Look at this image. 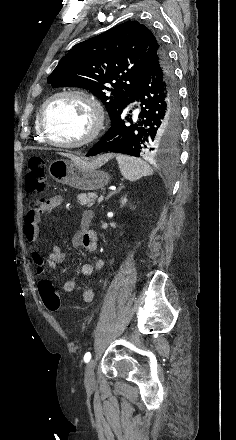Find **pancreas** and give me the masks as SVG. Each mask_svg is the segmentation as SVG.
Returning a JSON list of instances; mask_svg holds the SVG:
<instances>
[{
    "label": "pancreas",
    "instance_id": "obj_1",
    "mask_svg": "<svg viewBox=\"0 0 236 440\" xmlns=\"http://www.w3.org/2000/svg\"><path fill=\"white\" fill-rule=\"evenodd\" d=\"M96 194L95 193H83L77 196V200L82 206L91 207L94 204Z\"/></svg>",
    "mask_w": 236,
    "mask_h": 440
}]
</instances>
